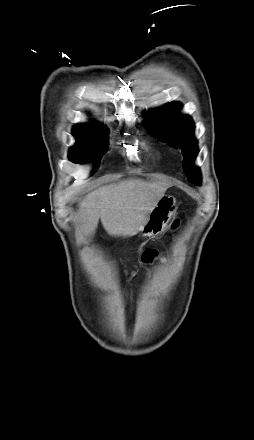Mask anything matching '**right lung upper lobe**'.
I'll return each mask as SVG.
<instances>
[{"instance_id":"right-lung-upper-lobe-1","label":"right lung upper lobe","mask_w":254,"mask_h":440,"mask_svg":"<svg viewBox=\"0 0 254 440\" xmlns=\"http://www.w3.org/2000/svg\"><path fill=\"white\" fill-rule=\"evenodd\" d=\"M74 128L91 130V131H104V130H106L104 128V126H102L101 124H96V126L89 125V124H78Z\"/></svg>"}]
</instances>
